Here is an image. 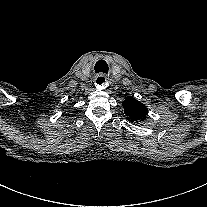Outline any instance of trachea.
<instances>
[{
	"label": "trachea",
	"mask_w": 207,
	"mask_h": 207,
	"mask_svg": "<svg viewBox=\"0 0 207 207\" xmlns=\"http://www.w3.org/2000/svg\"><path fill=\"white\" fill-rule=\"evenodd\" d=\"M95 69L98 71H104L108 69V65L104 60H99L95 65Z\"/></svg>",
	"instance_id": "3493384b"
}]
</instances>
